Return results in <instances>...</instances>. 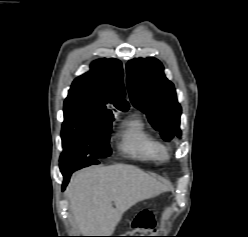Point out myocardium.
I'll return each instance as SVG.
<instances>
[{"label":"myocardium","instance_id":"myocardium-1","mask_svg":"<svg viewBox=\"0 0 248 237\" xmlns=\"http://www.w3.org/2000/svg\"><path fill=\"white\" fill-rule=\"evenodd\" d=\"M153 156L154 159L159 162H166L169 159V149L161 141H154L153 145Z\"/></svg>","mask_w":248,"mask_h":237}]
</instances>
